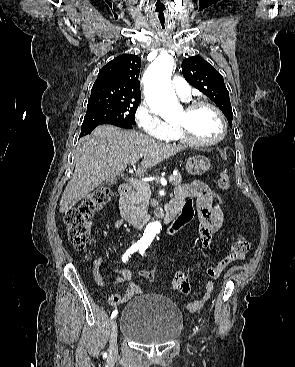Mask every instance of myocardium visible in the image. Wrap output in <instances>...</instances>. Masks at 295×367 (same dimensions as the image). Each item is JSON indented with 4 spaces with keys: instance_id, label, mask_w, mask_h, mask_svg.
<instances>
[{
    "instance_id": "obj_1",
    "label": "myocardium",
    "mask_w": 295,
    "mask_h": 367,
    "mask_svg": "<svg viewBox=\"0 0 295 367\" xmlns=\"http://www.w3.org/2000/svg\"><path fill=\"white\" fill-rule=\"evenodd\" d=\"M201 107H208L212 109L218 116L220 123H221V133L218 138L211 140V141H201L193 136V134L191 133V131L189 130V128L186 125L176 123L175 126L178 132L180 133V135L183 137V139L186 142L194 146L210 147V146L217 145L225 138L227 134V122L224 117V114L215 104L205 101V100L195 101V102L188 104L185 107V111L190 114Z\"/></svg>"
}]
</instances>
